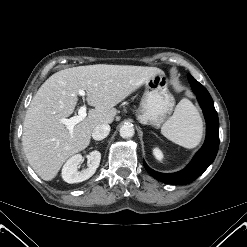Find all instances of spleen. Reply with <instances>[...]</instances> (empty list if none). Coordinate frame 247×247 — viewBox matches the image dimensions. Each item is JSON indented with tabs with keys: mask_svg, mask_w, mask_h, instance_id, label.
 I'll use <instances>...</instances> for the list:
<instances>
[{
	"mask_svg": "<svg viewBox=\"0 0 247 247\" xmlns=\"http://www.w3.org/2000/svg\"><path fill=\"white\" fill-rule=\"evenodd\" d=\"M161 133L172 142L193 149L202 139L203 124L197 108L186 98L176 106L173 115L161 127Z\"/></svg>",
	"mask_w": 247,
	"mask_h": 247,
	"instance_id": "spleen-1",
	"label": "spleen"
}]
</instances>
